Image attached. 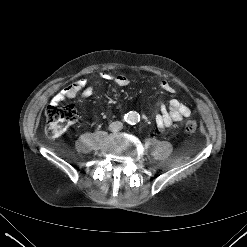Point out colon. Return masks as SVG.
Wrapping results in <instances>:
<instances>
[{
    "label": "colon",
    "instance_id": "obj_1",
    "mask_svg": "<svg viewBox=\"0 0 247 247\" xmlns=\"http://www.w3.org/2000/svg\"><path fill=\"white\" fill-rule=\"evenodd\" d=\"M45 116V133L49 138H56L75 122L78 112L72 104L60 106L51 103L46 108ZM197 126L198 124L195 119H188L185 123V131L188 134H193L197 130Z\"/></svg>",
    "mask_w": 247,
    "mask_h": 247
}]
</instances>
